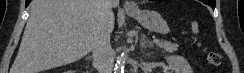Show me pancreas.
<instances>
[{
    "instance_id": "1",
    "label": "pancreas",
    "mask_w": 244,
    "mask_h": 73,
    "mask_svg": "<svg viewBox=\"0 0 244 73\" xmlns=\"http://www.w3.org/2000/svg\"><path fill=\"white\" fill-rule=\"evenodd\" d=\"M157 45L164 49V51L173 53L178 50V45L168 41H160Z\"/></svg>"
}]
</instances>
